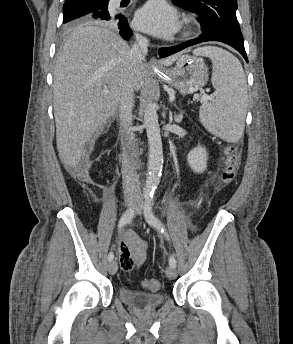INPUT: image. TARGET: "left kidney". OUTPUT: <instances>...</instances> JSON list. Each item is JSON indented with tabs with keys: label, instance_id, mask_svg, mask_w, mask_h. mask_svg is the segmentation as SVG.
I'll return each instance as SVG.
<instances>
[{
	"label": "left kidney",
	"instance_id": "5707ae66",
	"mask_svg": "<svg viewBox=\"0 0 293 344\" xmlns=\"http://www.w3.org/2000/svg\"><path fill=\"white\" fill-rule=\"evenodd\" d=\"M207 159V151L202 146L193 148L187 156L188 164L195 173H203L206 170Z\"/></svg>",
	"mask_w": 293,
	"mask_h": 344
}]
</instances>
